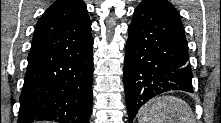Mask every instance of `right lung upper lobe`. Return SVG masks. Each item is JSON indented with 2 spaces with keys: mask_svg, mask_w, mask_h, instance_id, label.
<instances>
[{
  "mask_svg": "<svg viewBox=\"0 0 221 123\" xmlns=\"http://www.w3.org/2000/svg\"><path fill=\"white\" fill-rule=\"evenodd\" d=\"M91 30L82 0H58L39 19L31 48H44L75 41Z\"/></svg>",
  "mask_w": 221,
  "mask_h": 123,
  "instance_id": "1",
  "label": "right lung upper lobe"
}]
</instances>
